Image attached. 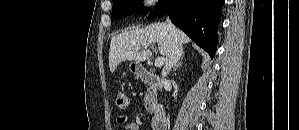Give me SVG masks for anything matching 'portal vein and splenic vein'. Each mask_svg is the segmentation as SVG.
Here are the masks:
<instances>
[{
    "label": "portal vein and splenic vein",
    "instance_id": "portal-vein-and-splenic-vein-1",
    "mask_svg": "<svg viewBox=\"0 0 299 130\" xmlns=\"http://www.w3.org/2000/svg\"><path fill=\"white\" fill-rule=\"evenodd\" d=\"M145 48H147V46H145ZM152 48L154 49V47L152 46ZM165 58L164 57H158L155 60V67H161L164 64Z\"/></svg>",
    "mask_w": 299,
    "mask_h": 130
}]
</instances>
